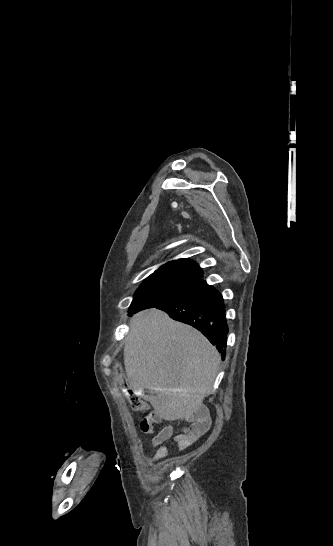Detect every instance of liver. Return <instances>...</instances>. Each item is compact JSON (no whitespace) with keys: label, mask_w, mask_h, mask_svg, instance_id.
I'll return each instance as SVG.
<instances>
[{"label":"liver","mask_w":333,"mask_h":546,"mask_svg":"<svg viewBox=\"0 0 333 546\" xmlns=\"http://www.w3.org/2000/svg\"><path fill=\"white\" fill-rule=\"evenodd\" d=\"M221 361L196 329L157 309L130 320L124 362L130 388L142 392L156 413L174 421L196 414L211 392Z\"/></svg>","instance_id":"liver-1"}]
</instances>
